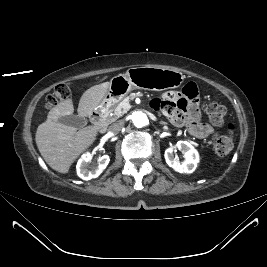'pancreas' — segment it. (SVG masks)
I'll use <instances>...</instances> for the list:
<instances>
[{"label": "pancreas", "instance_id": "cf45deb5", "mask_svg": "<svg viewBox=\"0 0 267 267\" xmlns=\"http://www.w3.org/2000/svg\"><path fill=\"white\" fill-rule=\"evenodd\" d=\"M131 97H125L121 102H119L116 106L110 108L108 111V121H115L118 118L122 117L125 113H127L128 108L124 107V104L129 103Z\"/></svg>", "mask_w": 267, "mask_h": 267}]
</instances>
